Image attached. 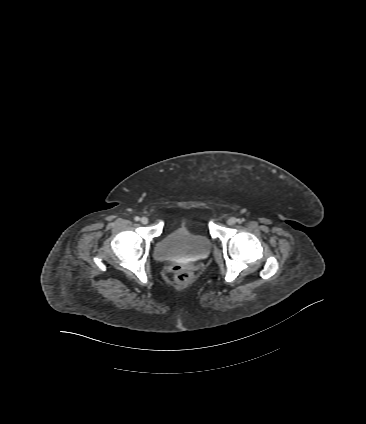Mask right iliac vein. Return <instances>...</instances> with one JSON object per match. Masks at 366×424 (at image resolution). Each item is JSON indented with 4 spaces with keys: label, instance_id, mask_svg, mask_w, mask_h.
<instances>
[{
    "label": "right iliac vein",
    "instance_id": "right-iliac-vein-1",
    "mask_svg": "<svg viewBox=\"0 0 366 424\" xmlns=\"http://www.w3.org/2000/svg\"><path fill=\"white\" fill-rule=\"evenodd\" d=\"M140 221H141L142 224H147L148 223V218L147 217H142Z\"/></svg>",
    "mask_w": 366,
    "mask_h": 424
}]
</instances>
